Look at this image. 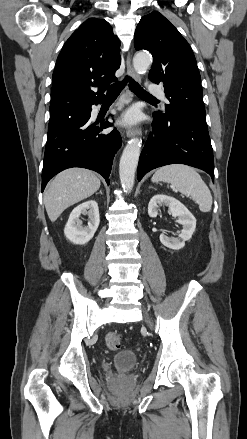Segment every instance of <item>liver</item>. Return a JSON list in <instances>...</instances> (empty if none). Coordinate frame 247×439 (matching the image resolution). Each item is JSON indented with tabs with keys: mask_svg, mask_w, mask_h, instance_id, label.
<instances>
[{
	"mask_svg": "<svg viewBox=\"0 0 247 439\" xmlns=\"http://www.w3.org/2000/svg\"><path fill=\"white\" fill-rule=\"evenodd\" d=\"M101 182L94 172L84 168H70L59 173L44 194L49 219L55 222L68 207L92 196Z\"/></svg>",
	"mask_w": 247,
	"mask_h": 439,
	"instance_id": "obj_1",
	"label": "liver"
}]
</instances>
